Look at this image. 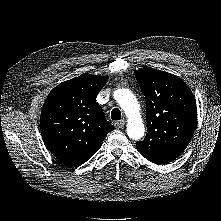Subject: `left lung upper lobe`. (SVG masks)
Masks as SVG:
<instances>
[{
    "label": "left lung upper lobe",
    "mask_w": 221,
    "mask_h": 221,
    "mask_svg": "<svg viewBox=\"0 0 221 221\" xmlns=\"http://www.w3.org/2000/svg\"><path fill=\"white\" fill-rule=\"evenodd\" d=\"M134 74L147 105V134L136 148L153 163H169L186 149L193 136L195 98L187 84L171 73L146 67Z\"/></svg>",
    "instance_id": "left-lung-upper-lobe-1"
}]
</instances>
